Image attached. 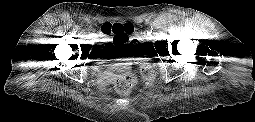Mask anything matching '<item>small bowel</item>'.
Returning <instances> with one entry per match:
<instances>
[{
	"mask_svg": "<svg viewBox=\"0 0 255 122\" xmlns=\"http://www.w3.org/2000/svg\"><path fill=\"white\" fill-rule=\"evenodd\" d=\"M112 25L111 23H105L101 27V31L99 32L100 37H104L105 34L103 33V27L104 25ZM111 37L109 39L104 40L103 43V52L101 53V59L104 61L109 57V52L112 49L120 48L123 46L128 45L129 43V37L122 35V34H111ZM127 64L125 62H120L116 65H114L107 73L106 77H110L112 75V70L120 71L122 69H125ZM96 71L99 72V69L96 68Z\"/></svg>",
	"mask_w": 255,
	"mask_h": 122,
	"instance_id": "small-bowel-1",
	"label": "small bowel"
}]
</instances>
